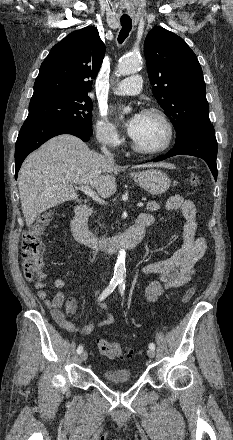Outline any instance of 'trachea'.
Returning a JSON list of instances; mask_svg holds the SVG:
<instances>
[{
	"mask_svg": "<svg viewBox=\"0 0 233 440\" xmlns=\"http://www.w3.org/2000/svg\"><path fill=\"white\" fill-rule=\"evenodd\" d=\"M122 29L118 36V42L123 43V41L128 37L131 28H132V20L130 18L121 19Z\"/></svg>",
	"mask_w": 233,
	"mask_h": 440,
	"instance_id": "obj_1",
	"label": "trachea"
}]
</instances>
